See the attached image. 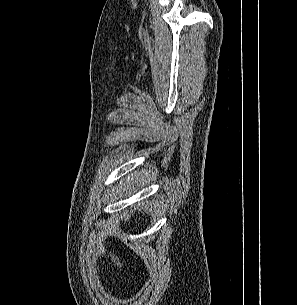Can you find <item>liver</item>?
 Here are the masks:
<instances>
[{
    "instance_id": "obj_1",
    "label": "liver",
    "mask_w": 297,
    "mask_h": 305,
    "mask_svg": "<svg viewBox=\"0 0 297 305\" xmlns=\"http://www.w3.org/2000/svg\"><path fill=\"white\" fill-rule=\"evenodd\" d=\"M110 256H111L112 261H114L115 263L117 261L116 265L121 268L122 264L119 262V259L117 257H115L114 255H110Z\"/></svg>"
}]
</instances>
